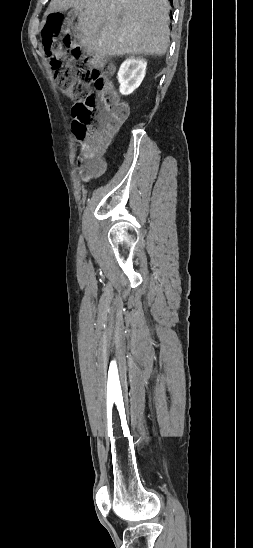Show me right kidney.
<instances>
[{"mask_svg": "<svg viewBox=\"0 0 253 548\" xmlns=\"http://www.w3.org/2000/svg\"><path fill=\"white\" fill-rule=\"evenodd\" d=\"M146 66L147 61L139 57H130L121 64L118 71L121 94L129 95L140 86L146 74Z\"/></svg>", "mask_w": 253, "mask_h": 548, "instance_id": "ca27d5eb", "label": "right kidney"}]
</instances>
